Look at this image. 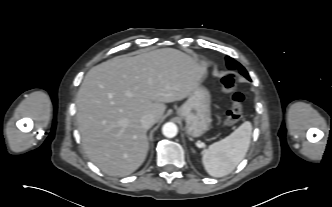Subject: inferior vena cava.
<instances>
[{"label":"inferior vena cava","instance_id":"602c4592","mask_svg":"<svg viewBox=\"0 0 332 207\" xmlns=\"http://www.w3.org/2000/svg\"><path fill=\"white\" fill-rule=\"evenodd\" d=\"M141 124L145 129H149L150 127H152L155 123V117L153 114H146L143 115L141 118Z\"/></svg>","mask_w":332,"mask_h":207}]
</instances>
